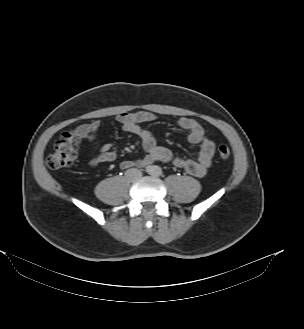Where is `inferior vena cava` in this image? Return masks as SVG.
<instances>
[{"instance_id": "inferior-vena-cava-1", "label": "inferior vena cava", "mask_w": 304, "mask_h": 329, "mask_svg": "<svg viewBox=\"0 0 304 329\" xmlns=\"http://www.w3.org/2000/svg\"><path fill=\"white\" fill-rule=\"evenodd\" d=\"M125 175L130 181H135L142 176V172L139 169L131 168L126 170Z\"/></svg>"}]
</instances>
